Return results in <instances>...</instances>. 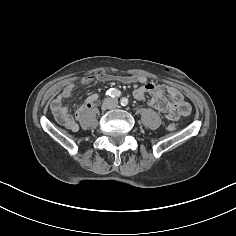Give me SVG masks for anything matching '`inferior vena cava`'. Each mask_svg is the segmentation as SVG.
<instances>
[{
	"label": "inferior vena cava",
	"mask_w": 236,
	"mask_h": 236,
	"mask_svg": "<svg viewBox=\"0 0 236 236\" xmlns=\"http://www.w3.org/2000/svg\"><path fill=\"white\" fill-rule=\"evenodd\" d=\"M118 105V100L116 98H106L103 102V106L106 109H113L116 108Z\"/></svg>",
	"instance_id": "602c4592"
}]
</instances>
